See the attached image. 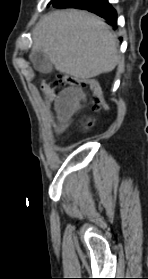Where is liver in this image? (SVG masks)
<instances>
[{"label":"liver","instance_id":"1","mask_svg":"<svg viewBox=\"0 0 148 279\" xmlns=\"http://www.w3.org/2000/svg\"><path fill=\"white\" fill-rule=\"evenodd\" d=\"M39 50L57 71L80 79L111 72L119 60L109 26L85 11H54L43 16L33 31L32 53Z\"/></svg>","mask_w":148,"mask_h":279}]
</instances>
